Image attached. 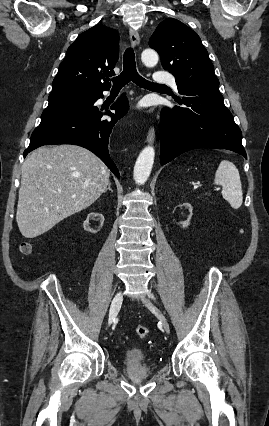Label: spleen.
I'll use <instances>...</instances> for the list:
<instances>
[{
	"label": "spleen",
	"mask_w": 269,
	"mask_h": 426,
	"mask_svg": "<svg viewBox=\"0 0 269 426\" xmlns=\"http://www.w3.org/2000/svg\"><path fill=\"white\" fill-rule=\"evenodd\" d=\"M214 181L223 187L222 196L231 207L240 208L243 202V192L237 167L228 160H222L215 173Z\"/></svg>",
	"instance_id": "3e777b00"
}]
</instances>
